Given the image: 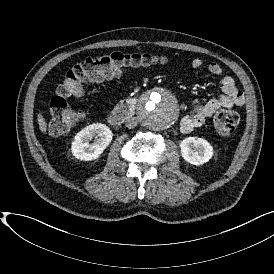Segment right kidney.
I'll list each match as a JSON object with an SVG mask.
<instances>
[{
  "mask_svg": "<svg viewBox=\"0 0 274 274\" xmlns=\"http://www.w3.org/2000/svg\"><path fill=\"white\" fill-rule=\"evenodd\" d=\"M97 138L94 144L89 141ZM113 139V133L110 128L104 124H91L79 131L71 143L72 155L81 161H92L100 157L110 145Z\"/></svg>",
  "mask_w": 274,
  "mask_h": 274,
  "instance_id": "right-kidney-1",
  "label": "right kidney"
}]
</instances>
